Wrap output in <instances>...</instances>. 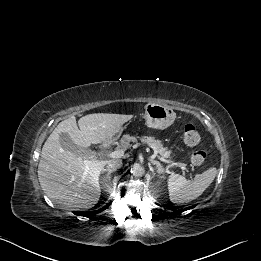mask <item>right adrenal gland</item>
<instances>
[{"label":"right adrenal gland","instance_id":"1","mask_svg":"<svg viewBox=\"0 0 261 261\" xmlns=\"http://www.w3.org/2000/svg\"><path fill=\"white\" fill-rule=\"evenodd\" d=\"M105 172H107V174H106L105 177H103V181L101 182V183L103 184V188L106 187L107 181L110 180V175H111V173H112V170H111V169H108V168L103 169L102 174H104Z\"/></svg>","mask_w":261,"mask_h":261}]
</instances>
